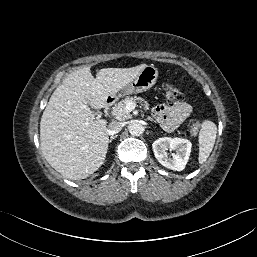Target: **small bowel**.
I'll return each mask as SVG.
<instances>
[{"mask_svg": "<svg viewBox=\"0 0 257 257\" xmlns=\"http://www.w3.org/2000/svg\"><path fill=\"white\" fill-rule=\"evenodd\" d=\"M191 110V106L186 102L173 105L160 104L153 109V114L164 129L172 131L187 119Z\"/></svg>", "mask_w": 257, "mask_h": 257, "instance_id": "1", "label": "small bowel"}]
</instances>
